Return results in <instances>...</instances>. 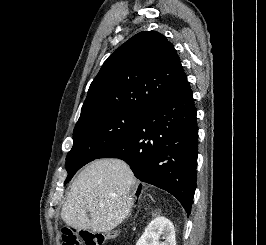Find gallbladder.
<instances>
[{"label":"gallbladder","instance_id":"bac80fb5","mask_svg":"<svg viewBox=\"0 0 266 245\" xmlns=\"http://www.w3.org/2000/svg\"><path fill=\"white\" fill-rule=\"evenodd\" d=\"M87 217H91L90 213H88Z\"/></svg>","mask_w":266,"mask_h":245}]
</instances>
